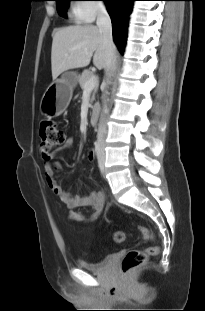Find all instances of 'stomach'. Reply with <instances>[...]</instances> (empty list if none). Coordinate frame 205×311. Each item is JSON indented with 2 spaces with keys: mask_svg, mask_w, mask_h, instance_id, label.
Returning <instances> with one entry per match:
<instances>
[{
  "mask_svg": "<svg viewBox=\"0 0 205 311\" xmlns=\"http://www.w3.org/2000/svg\"><path fill=\"white\" fill-rule=\"evenodd\" d=\"M76 83L77 74L75 72L66 73L61 79L51 83L42 96L41 113L47 117L61 115L69 105Z\"/></svg>",
  "mask_w": 205,
  "mask_h": 311,
  "instance_id": "1",
  "label": "stomach"
}]
</instances>
